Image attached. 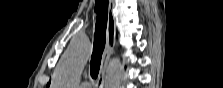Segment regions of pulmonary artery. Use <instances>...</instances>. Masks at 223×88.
<instances>
[{
    "instance_id": "1",
    "label": "pulmonary artery",
    "mask_w": 223,
    "mask_h": 88,
    "mask_svg": "<svg viewBox=\"0 0 223 88\" xmlns=\"http://www.w3.org/2000/svg\"><path fill=\"white\" fill-rule=\"evenodd\" d=\"M80 88H90V84L88 82H82Z\"/></svg>"
}]
</instances>
